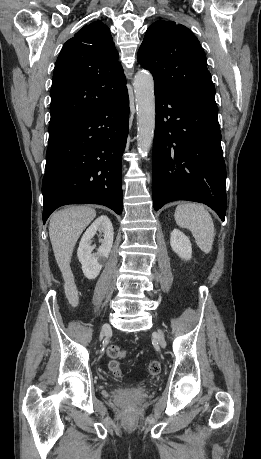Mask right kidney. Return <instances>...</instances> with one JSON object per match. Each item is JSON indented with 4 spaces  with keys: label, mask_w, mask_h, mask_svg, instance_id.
I'll return each instance as SVG.
<instances>
[{
    "label": "right kidney",
    "mask_w": 261,
    "mask_h": 459,
    "mask_svg": "<svg viewBox=\"0 0 261 459\" xmlns=\"http://www.w3.org/2000/svg\"><path fill=\"white\" fill-rule=\"evenodd\" d=\"M102 232L103 239L96 253H93L95 245H91V239L96 232ZM113 226L106 215L98 217L83 234L77 250V257L82 265V271L86 278L95 279L103 265L106 263L113 245Z\"/></svg>",
    "instance_id": "right-kidney-1"
}]
</instances>
